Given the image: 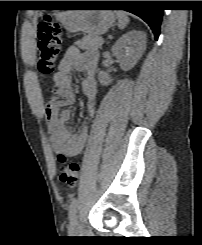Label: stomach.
I'll use <instances>...</instances> for the list:
<instances>
[{
    "mask_svg": "<svg viewBox=\"0 0 202 245\" xmlns=\"http://www.w3.org/2000/svg\"><path fill=\"white\" fill-rule=\"evenodd\" d=\"M57 18L67 31H82L92 36L107 32L116 19L115 14L109 10L68 11L57 14Z\"/></svg>",
    "mask_w": 202,
    "mask_h": 245,
    "instance_id": "stomach-1",
    "label": "stomach"
}]
</instances>
